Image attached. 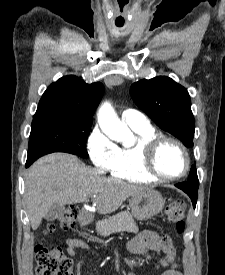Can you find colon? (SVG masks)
I'll list each match as a JSON object with an SVG mask.
<instances>
[{"mask_svg":"<svg viewBox=\"0 0 225 275\" xmlns=\"http://www.w3.org/2000/svg\"><path fill=\"white\" fill-rule=\"evenodd\" d=\"M78 214L77 207H67L56 221L48 225L47 231H53L57 225L64 230L72 229ZM184 214L185 203L182 200L171 201L166 207L167 219L174 225L175 231L179 234L183 233L186 227ZM163 248L166 253L163 264L169 265L175 255L172 240L169 236H164ZM36 275H73L72 262L59 247L38 245L36 247Z\"/></svg>","mask_w":225,"mask_h":275,"instance_id":"obj_1","label":"colon"}]
</instances>
